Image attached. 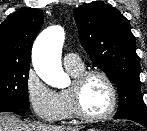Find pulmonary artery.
I'll list each match as a JSON object with an SVG mask.
<instances>
[{
	"mask_svg": "<svg viewBox=\"0 0 147 131\" xmlns=\"http://www.w3.org/2000/svg\"><path fill=\"white\" fill-rule=\"evenodd\" d=\"M63 63L66 68L77 69L83 66L80 57L74 53H66L63 58Z\"/></svg>",
	"mask_w": 147,
	"mask_h": 131,
	"instance_id": "1",
	"label": "pulmonary artery"
}]
</instances>
